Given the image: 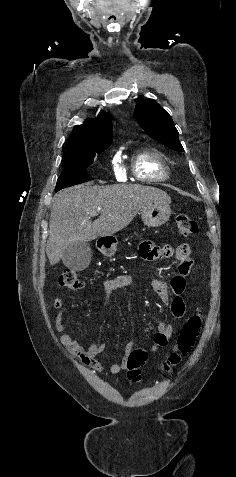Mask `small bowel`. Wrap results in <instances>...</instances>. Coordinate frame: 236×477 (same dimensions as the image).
<instances>
[{"label":"small bowel","instance_id":"obj_1","mask_svg":"<svg viewBox=\"0 0 236 477\" xmlns=\"http://www.w3.org/2000/svg\"><path fill=\"white\" fill-rule=\"evenodd\" d=\"M176 255L179 260L178 274L172 278L171 287L158 278L150 280L151 289L159 296L163 303L170 305L172 315L175 318L181 319L186 312V306L182 295L185 291V277L191 272L193 267V260L190 256V247L188 244H180L176 249L173 245L167 243L162 246H157L151 241H145L140 246V255L143 259L153 261L157 259H168ZM132 283L130 275L123 274L114 278L106 279L103 283L101 301L106 308L112 305V296L115 292L128 287ZM171 293L174 295L171 297ZM53 306L61 310L63 307V300L56 297L53 300ZM56 329L59 332L65 330L64 314L62 311L58 313L55 319ZM174 327L172 324L160 323L157 331L154 333L151 345V351L156 352L164 347L168 340L172 337ZM61 343L74 355L79 357L86 365H90L96 371H102L103 365L98 359V355L105 350V344L93 343L90 347H83L69 334L60 335ZM132 341L127 342L123 347V358L109 367L111 375L118 374L128 366V356L133 348Z\"/></svg>","mask_w":236,"mask_h":477}]
</instances>
